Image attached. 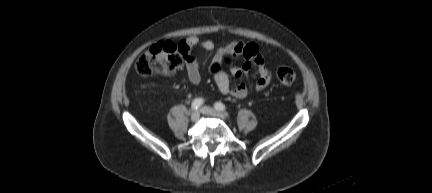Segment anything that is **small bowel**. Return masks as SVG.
<instances>
[{
    "instance_id": "small-bowel-1",
    "label": "small bowel",
    "mask_w": 432,
    "mask_h": 193,
    "mask_svg": "<svg viewBox=\"0 0 432 193\" xmlns=\"http://www.w3.org/2000/svg\"><path fill=\"white\" fill-rule=\"evenodd\" d=\"M196 48L213 51L215 44L209 39H200L197 36H191L179 43V50L185 60L187 79L192 85H198L201 81L199 64L193 54V50ZM227 56L231 58L228 67L236 79H240L252 67H255L259 75L255 90L260 92L269 85L271 71L261 55L259 47L256 44L229 43L217 49L209 65V70L214 74L216 86L222 94H230L236 98H244L248 94V89L244 83L235 85L230 83L229 77L223 69L224 58Z\"/></svg>"
}]
</instances>
